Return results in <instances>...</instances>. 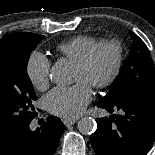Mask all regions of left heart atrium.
I'll list each match as a JSON object with an SVG mask.
<instances>
[{
	"instance_id": "1",
	"label": "left heart atrium",
	"mask_w": 155,
	"mask_h": 155,
	"mask_svg": "<svg viewBox=\"0 0 155 155\" xmlns=\"http://www.w3.org/2000/svg\"><path fill=\"white\" fill-rule=\"evenodd\" d=\"M92 99L90 86L79 81L70 87H57L45 97L48 110L65 119L78 117Z\"/></svg>"
}]
</instances>
